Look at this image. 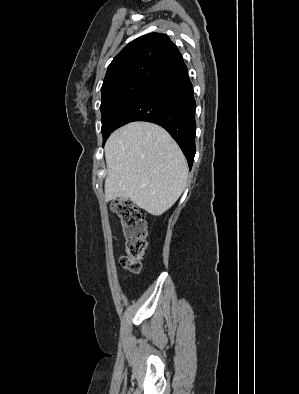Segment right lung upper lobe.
<instances>
[{
	"label": "right lung upper lobe",
	"mask_w": 299,
	"mask_h": 394,
	"mask_svg": "<svg viewBox=\"0 0 299 394\" xmlns=\"http://www.w3.org/2000/svg\"><path fill=\"white\" fill-rule=\"evenodd\" d=\"M183 63L169 37L161 33L143 35L126 45L110 63L101 92L130 83L151 85Z\"/></svg>",
	"instance_id": "right-lung-upper-lobe-1"
}]
</instances>
